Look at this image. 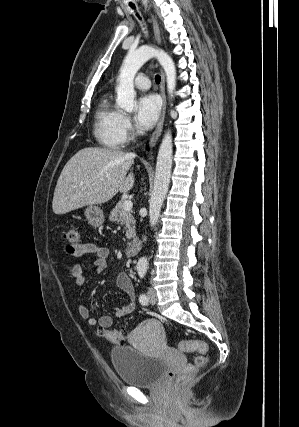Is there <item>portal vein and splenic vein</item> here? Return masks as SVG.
Returning a JSON list of instances; mask_svg holds the SVG:
<instances>
[{"instance_id":"obj_1","label":"portal vein and splenic vein","mask_w":299,"mask_h":427,"mask_svg":"<svg viewBox=\"0 0 299 427\" xmlns=\"http://www.w3.org/2000/svg\"><path fill=\"white\" fill-rule=\"evenodd\" d=\"M132 201L131 200H125L123 203V210L124 211H129L132 208Z\"/></svg>"}]
</instances>
